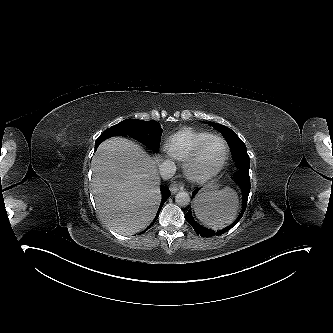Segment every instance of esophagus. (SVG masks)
Listing matches in <instances>:
<instances>
[{"mask_svg": "<svg viewBox=\"0 0 333 333\" xmlns=\"http://www.w3.org/2000/svg\"><path fill=\"white\" fill-rule=\"evenodd\" d=\"M171 193H176L177 191H179V189H183V184L182 183H177V182H173L170 184L169 187Z\"/></svg>", "mask_w": 333, "mask_h": 333, "instance_id": "esophagus-1", "label": "esophagus"}]
</instances>
